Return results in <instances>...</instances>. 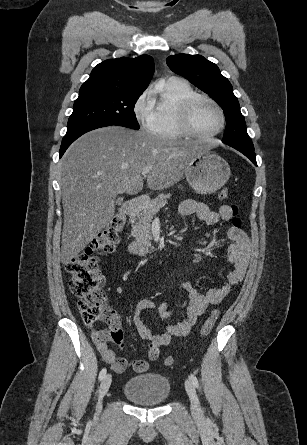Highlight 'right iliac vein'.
I'll return each mask as SVG.
<instances>
[{
	"instance_id": "63e3f726",
	"label": "right iliac vein",
	"mask_w": 307,
	"mask_h": 445,
	"mask_svg": "<svg viewBox=\"0 0 307 445\" xmlns=\"http://www.w3.org/2000/svg\"><path fill=\"white\" fill-rule=\"evenodd\" d=\"M111 382H112V376L110 374L105 375V377L102 379V382L100 384V389H99V401L97 404L98 413L101 412L102 399L107 394V392L110 388Z\"/></svg>"
}]
</instances>
